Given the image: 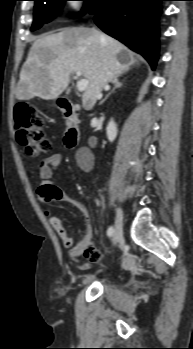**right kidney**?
<instances>
[{
	"mask_svg": "<svg viewBox=\"0 0 193 349\" xmlns=\"http://www.w3.org/2000/svg\"><path fill=\"white\" fill-rule=\"evenodd\" d=\"M106 133H107L108 140L110 142H113L117 136V126H116L115 122L113 121V119H111L109 121L107 128H106Z\"/></svg>",
	"mask_w": 193,
	"mask_h": 349,
	"instance_id": "right-kidney-1",
	"label": "right kidney"
}]
</instances>
